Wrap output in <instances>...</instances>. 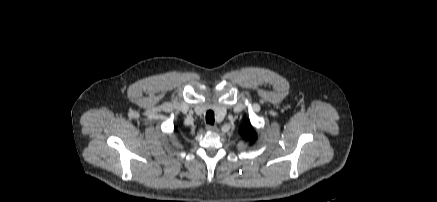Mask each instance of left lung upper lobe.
I'll return each mask as SVG.
<instances>
[{"label": "left lung upper lobe", "mask_w": 437, "mask_h": 202, "mask_svg": "<svg viewBox=\"0 0 437 202\" xmlns=\"http://www.w3.org/2000/svg\"><path fill=\"white\" fill-rule=\"evenodd\" d=\"M240 133L246 140H251L253 142L256 139L254 129L248 121L244 122L240 129Z\"/></svg>", "instance_id": "obj_1"}]
</instances>
